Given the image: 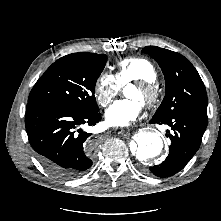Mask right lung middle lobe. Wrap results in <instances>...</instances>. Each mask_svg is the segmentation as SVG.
I'll return each mask as SVG.
<instances>
[{
	"instance_id": "obj_1",
	"label": "right lung middle lobe",
	"mask_w": 221,
	"mask_h": 221,
	"mask_svg": "<svg viewBox=\"0 0 221 221\" xmlns=\"http://www.w3.org/2000/svg\"><path fill=\"white\" fill-rule=\"evenodd\" d=\"M106 61L105 54L86 52L56 60L36 82L28 101H44L84 114L98 113L95 84Z\"/></svg>"
}]
</instances>
